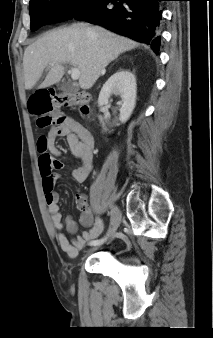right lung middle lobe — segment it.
<instances>
[{"instance_id": "dd1d6c3e", "label": "right lung middle lobe", "mask_w": 213, "mask_h": 338, "mask_svg": "<svg viewBox=\"0 0 213 338\" xmlns=\"http://www.w3.org/2000/svg\"><path fill=\"white\" fill-rule=\"evenodd\" d=\"M96 0H30L31 30L72 19Z\"/></svg>"}]
</instances>
